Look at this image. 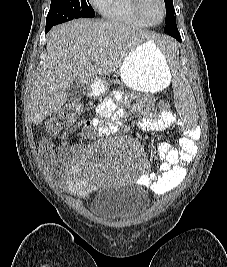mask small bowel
Here are the masks:
<instances>
[{"label":"small bowel","instance_id":"small-bowel-1","mask_svg":"<svg viewBox=\"0 0 227 267\" xmlns=\"http://www.w3.org/2000/svg\"><path fill=\"white\" fill-rule=\"evenodd\" d=\"M147 115L137 122V127L143 132L161 131L173 129L180 136L178 147L161 142L157 146V156L160 165L157 173L144 174L141 176V183L149 187L154 193H167L180 185L185 177V166L190 164L198 150L197 133L194 130L185 132L180 129L178 118L169 110L154 112L145 110ZM117 103L116 96L111 95L105 98L96 108L92 120L76 125L64 133L65 139L69 133L81 128L83 137L93 139L104 137L116 132L119 123L116 119ZM78 150L72 151L65 144L61 156L65 160L69 173L65 178V189L77 194L87 195L92 191V183L87 174L83 161L79 160ZM41 153L48 160L53 162L55 154L48 141L41 143Z\"/></svg>","mask_w":227,"mask_h":267}]
</instances>
